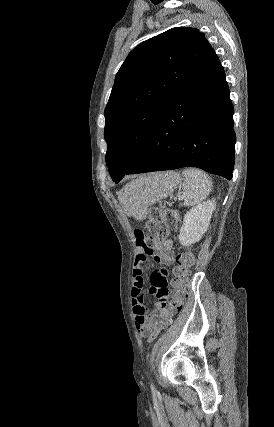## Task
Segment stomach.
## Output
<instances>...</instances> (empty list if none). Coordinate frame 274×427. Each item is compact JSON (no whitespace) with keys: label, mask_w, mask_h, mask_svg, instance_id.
<instances>
[{"label":"stomach","mask_w":274,"mask_h":427,"mask_svg":"<svg viewBox=\"0 0 274 427\" xmlns=\"http://www.w3.org/2000/svg\"><path fill=\"white\" fill-rule=\"evenodd\" d=\"M181 180L177 172H164V174H148L140 180H135L125 186L121 192V202L128 214L134 217L146 215L148 206L158 202L160 198H166L179 186ZM141 182H148L149 186H139ZM149 196H152L149 200Z\"/></svg>","instance_id":"stomach-1"}]
</instances>
